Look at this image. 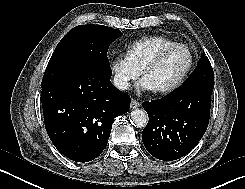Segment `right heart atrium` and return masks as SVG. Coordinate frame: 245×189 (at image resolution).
Instances as JSON below:
<instances>
[{
	"label": "right heart atrium",
	"mask_w": 245,
	"mask_h": 189,
	"mask_svg": "<svg viewBox=\"0 0 245 189\" xmlns=\"http://www.w3.org/2000/svg\"><path fill=\"white\" fill-rule=\"evenodd\" d=\"M110 71L115 86L120 90H127L140 74V71L131 64L126 56L112 59Z\"/></svg>",
	"instance_id": "1"
}]
</instances>
